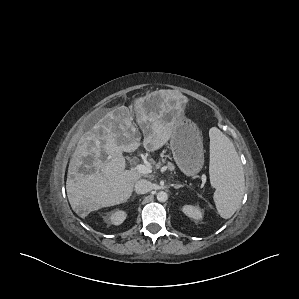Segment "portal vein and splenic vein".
I'll list each match as a JSON object with an SVG mask.
<instances>
[{
    "label": "portal vein and splenic vein",
    "instance_id": "1",
    "mask_svg": "<svg viewBox=\"0 0 299 299\" xmlns=\"http://www.w3.org/2000/svg\"><path fill=\"white\" fill-rule=\"evenodd\" d=\"M135 170H137L139 173H142V174H148L151 172V168L144 164L136 165Z\"/></svg>",
    "mask_w": 299,
    "mask_h": 299
}]
</instances>
